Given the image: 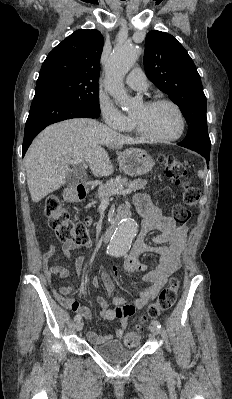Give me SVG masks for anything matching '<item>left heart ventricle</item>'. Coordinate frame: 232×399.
<instances>
[{
    "label": "left heart ventricle",
    "mask_w": 232,
    "mask_h": 399,
    "mask_svg": "<svg viewBox=\"0 0 232 399\" xmlns=\"http://www.w3.org/2000/svg\"><path fill=\"white\" fill-rule=\"evenodd\" d=\"M142 129L149 135L157 138H166L175 135L180 128L179 116L170 105L154 107L140 106L134 113Z\"/></svg>",
    "instance_id": "1"
}]
</instances>
